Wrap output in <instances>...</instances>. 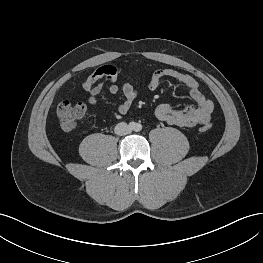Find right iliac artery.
<instances>
[{"label": "right iliac artery", "mask_w": 263, "mask_h": 263, "mask_svg": "<svg viewBox=\"0 0 263 263\" xmlns=\"http://www.w3.org/2000/svg\"><path fill=\"white\" fill-rule=\"evenodd\" d=\"M134 125H135V124H134L133 122L130 123V127H131V128H134Z\"/></svg>", "instance_id": "right-iliac-artery-1"}]
</instances>
